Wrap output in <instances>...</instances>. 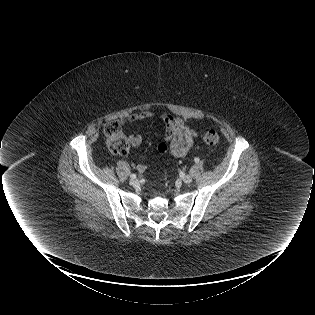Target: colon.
<instances>
[{"label": "colon", "mask_w": 315, "mask_h": 315, "mask_svg": "<svg viewBox=\"0 0 315 315\" xmlns=\"http://www.w3.org/2000/svg\"><path fill=\"white\" fill-rule=\"evenodd\" d=\"M104 134L108 149L117 155H125L129 150V142L126 138L122 125L119 121H112L106 124ZM203 140L208 145H215L219 142V134L215 130L207 131Z\"/></svg>", "instance_id": "colon-1"}]
</instances>
